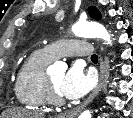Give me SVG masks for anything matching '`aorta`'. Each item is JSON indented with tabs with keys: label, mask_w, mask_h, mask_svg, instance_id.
<instances>
[{
	"label": "aorta",
	"mask_w": 133,
	"mask_h": 118,
	"mask_svg": "<svg viewBox=\"0 0 133 118\" xmlns=\"http://www.w3.org/2000/svg\"><path fill=\"white\" fill-rule=\"evenodd\" d=\"M73 33L78 37L84 38H100L107 42V44H111V36L107 32L104 26L96 22H85L78 23L72 27ZM67 66L61 62H56L54 65L50 67L52 72L57 70H65ZM79 118H92V112L90 110L83 111Z\"/></svg>",
	"instance_id": "aorta-1"
}]
</instances>
